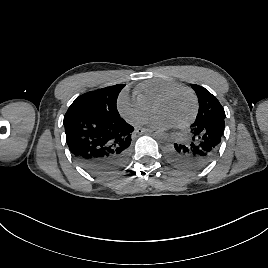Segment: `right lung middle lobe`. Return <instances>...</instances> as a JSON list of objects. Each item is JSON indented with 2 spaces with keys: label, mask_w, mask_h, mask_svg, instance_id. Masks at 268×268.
<instances>
[{
  "label": "right lung middle lobe",
  "mask_w": 268,
  "mask_h": 268,
  "mask_svg": "<svg viewBox=\"0 0 268 268\" xmlns=\"http://www.w3.org/2000/svg\"><path fill=\"white\" fill-rule=\"evenodd\" d=\"M124 86V84H118L87 92L79 96L68 108L64 116V121L80 114L94 115L109 119L120 117L116 102Z\"/></svg>",
  "instance_id": "dd1d6c3e"
}]
</instances>
